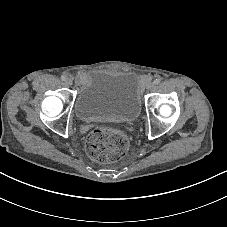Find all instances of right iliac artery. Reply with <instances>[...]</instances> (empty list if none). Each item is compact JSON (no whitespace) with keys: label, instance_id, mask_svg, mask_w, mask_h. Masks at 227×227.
Segmentation results:
<instances>
[{"label":"right iliac artery","instance_id":"right-iliac-artery-1","mask_svg":"<svg viewBox=\"0 0 227 227\" xmlns=\"http://www.w3.org/2000/svg\"><path fill=\"white\" fill-rule=\"evenodd\" d=\"M61 80H62V81H65V80H66V76L62 75V76H61Z\"/></svg>","mask_w":227,"mask_h":227}]
</instances>
